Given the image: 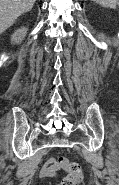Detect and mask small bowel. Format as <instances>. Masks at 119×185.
Listing matches in <instances>:
<instances>
[{"label":"small bowel","mask_w":119,"mask_h":185,"mask_svg":"<svg viewBox=\"0 0 119 185\" xmlns=\"http://www.w3.org/2000/svg\"><path fill=\"white\" fill-rule=\"evenodd\" d=\"M60 169L61 168L58 164V161L54 157H51L42 167L40 171V176L43 179L56 177L58 176V172Z\"/></svg>","instance_id":"obj_1"}]
</instances>
